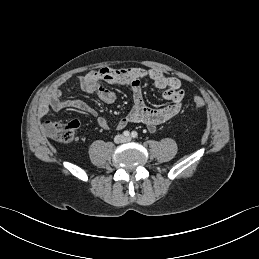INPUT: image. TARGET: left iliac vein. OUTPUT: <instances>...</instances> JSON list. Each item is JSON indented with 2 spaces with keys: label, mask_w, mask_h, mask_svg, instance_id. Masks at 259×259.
<instances>
[{
  "label": "left iliac vein",
  "mask_w": 259,
  "mask_h": 259,
  "mask_svg": "<svg viewBox=\"0 0 259 259\" xmlns=\"http://www.w3.org/2000/svg\"><path fill=\"white\" fill-rule=\"evenodd\" d=\"M125 140H126V141H130V138H126Z\"/></svg>",
  "instance_id": "obj_1"
}]
</instances>
